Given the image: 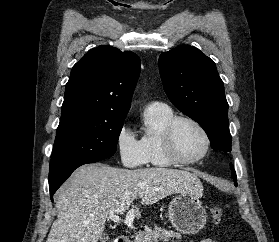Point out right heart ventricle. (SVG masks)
<instances>
[{"instance_id": "e07e8e85", "label": "right heart ventricle", "mask_w": 279, "mask_h": 242, "mask_svg": "<svg viewBox=\"0 0 279 242\" xmlns=\"http://www.w3.org/2000/svg\"><path fill=\"white\" fill-rule=\"evenodd\" d=\"M173 116V110L163 104H152L145 111L146 131L139 141L146 157V163L152 166L170 167L174 165L166 155L162 142L163 130Z\"/></svg>"}]
</instances>
